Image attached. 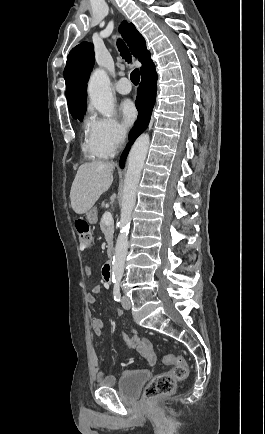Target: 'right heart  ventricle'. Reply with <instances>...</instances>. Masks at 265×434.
<instances>
[{"mask_svg": "<svg viewBox=\"0 0 265 434\" xmlns=\"http://www.w3.org/2000/svg\"><path fill=\"white\" fill-rule=\"evenodd\" d=\"M84 148H85V150L87 151V148H88V141H87V136H86V134H85V138H84ZM87 152H88V151H87ZM90 157H91L92 159H95V160L105 159L104 157H98V154H90Z\"/></svg>", "mask_w": 265, "mask_h": 434, "instance_id": "e07e8e85", "label": "right heart ventricle"}]
</instances>
